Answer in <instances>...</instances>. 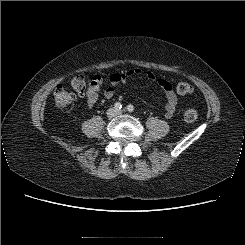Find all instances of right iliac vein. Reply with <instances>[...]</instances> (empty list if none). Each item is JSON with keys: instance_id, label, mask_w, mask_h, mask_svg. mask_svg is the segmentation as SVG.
<instances>
[{"instance_id": "right-iliac-vein-1", "label": "right iliac vein", "mask_w": 245, "mask_h": 245, "mask_svg": "<svg viewBox=\"0 0 245 245\" xmlns=\"http://www.w3.org/2000/svg\"><path fill=\"white\" fill-rule=\"evenodd\" d=\"M116 115V110L114 108H111L108 110V116L113 117Z\"/></svg>"}]
</instances>
